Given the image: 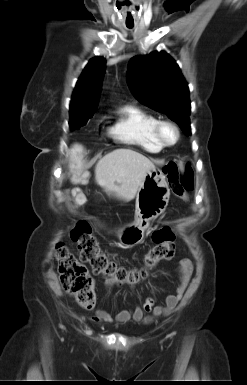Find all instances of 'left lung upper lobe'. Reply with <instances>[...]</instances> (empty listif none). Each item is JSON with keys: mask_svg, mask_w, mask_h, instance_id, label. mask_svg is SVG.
Segmentation results:
<instances>
[{"mask_svg": "<svg viewBox=\"0 0 247 385\" xmlns=\"http://www.w3.org/2000/svg\"><path fill=\"white\" fill-rule=\"evenodd\" d=\"M127 81L141 103L165 113L185 135H191L189 88L172 57L166 52L133 57Z\"/></svg>", "mask_w": 247, "mask_h": 385, "instance_id": "left-lung-upper-lobe-1", "label": "left lung upper lobe"}]
</instances>
